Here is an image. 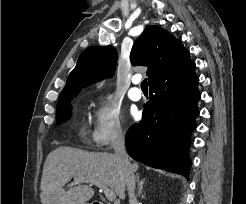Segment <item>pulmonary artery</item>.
<instances>
[{
    "label": "pulmonary artery",
    "mask_w": 246,
    "mask_h": 204,
    "mask_svg": "<svg viewBox=\"0 0 246 204\" xmlns=\"http://www.w3.org/2000/svg\"><path fill=\"white\" fill-rule=\"evenodd\" d=\"M133 87H131L128 91V97L132 101H139L142 98V92L137 87V85L140 83V77H134L132 79Z\"/></svg>",
    "instance_id": "1"
}]
</instances>
